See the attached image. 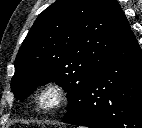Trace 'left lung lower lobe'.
I'll use <instances>...</instances> for the list:
<instances>
[{"label":"left lung lower lobe","instance_id":"obj_1","mask_svg":"<svg viewBox=\"0 0 142 128\" xmlns=\"http://www.w3.org/2000/svg\"><path fill=\"white\" fill-rule=\"evenodd\" d=\"M64 122L89 128H142V50L133 36L86 83Z\"/></svg>","mask_w":142,"mask_h":128}]
</instances>
